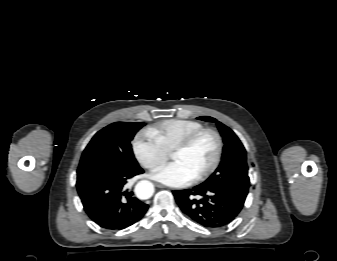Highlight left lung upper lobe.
<instances>
[{"mask_svg":"<svg viewBox=\"0 0 337 261\" xmlns=\"http://www.w3.org/2000/svg\"><path fill=\"white\" fill-rule=\"evenodd\" d=\"M198 119L216 122L225 144L219 167L199 186L221 189L244 204L250 185L244 146L230 128L216 119L208 116L198 117Z\"/></svg>","mask_w":337,"mask_h":261,"instance_id":"obj_1","label":"left lung upper lobe"}]
</instances>
